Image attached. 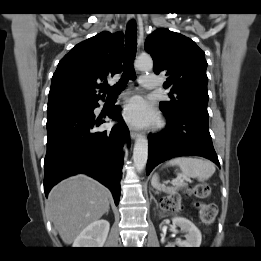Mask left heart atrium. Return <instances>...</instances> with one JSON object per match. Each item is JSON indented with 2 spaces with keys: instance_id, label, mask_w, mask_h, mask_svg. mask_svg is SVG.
I'll return each instance as SVG.
<instances>
[{
  "instance_id": "left-heart-atrium-1",
  "label": "left heart atrium",
  "mask_w": 261,
  "mask_h": 261,
  "mask_svg": "<svg viewBox=\"0 0 261 261\" xmlns=\"http://www.w3.org/2000/svg\"><path fill=\"white\" fill-rule=\"evenodd\" d=\"M124 117L135 125H147L155 121L154 113L150 106L141 98H131L124 109Z\"/></svg>"
}]
</instances>
